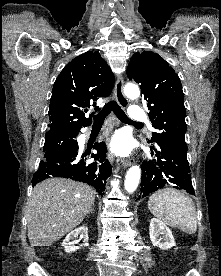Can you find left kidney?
<instances>
[{
	"label": "left kidney",
	"mask_w": 221,
	"mask_h": 276,
	"mask_svg": "<svg viewBox=\"0 0 221 276\" xmlns=\"http://www.w3.org/2000/svg\"><path fill=\"white\" fill-rule=\"evenodd\" d=\"M149 235L152 244L161 250H168L176 245L171 230L157 218H152L150 221Z\"/></svg>",
	"instance_id": "5707ae66"
}]
</instances>
